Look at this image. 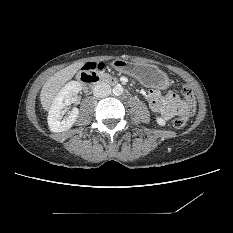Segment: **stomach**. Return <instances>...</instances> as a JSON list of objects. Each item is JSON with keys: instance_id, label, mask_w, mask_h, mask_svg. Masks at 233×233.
Masks as SVG:
<instances>
[{"instance_id": "0dacf381", "label": "stomach", "mask_w": 233, "mask_h": 233, "mask_svg": "<svg viewBox=\"0 0 233 233\" xmlns=\"http://www.w3.org/2000/svg\"><path fill=\"white\" fill-rule=\"evenodd\" d=\"M112 67L118 72L127 74L146 87H155L162 90L170 86V79L158 67L150 64H139L116 59Z\"/></svg>"}]
</instances>
